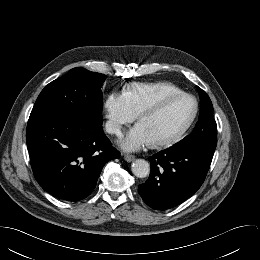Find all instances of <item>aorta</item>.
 <instances>
[{
    "instance_id": "1",
    "label": "aorta",
    "mask_w": 260,
    "mask_h": 260,
    "mask_svg": "<svg viewBox=\"0 0 260 260\" xmlns=\"http://www.w3.org/2000/svg\"><path fill=\"white\" fill-rule=\"evenodd\" d=\"M131 170L136 177L145 178L149 175L150 165L146 160L136 159L131 166Z\"/></svg>"
}]
</instances>
